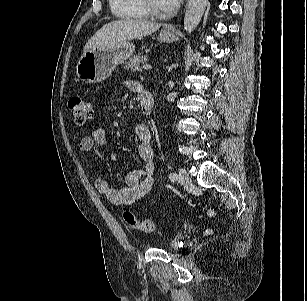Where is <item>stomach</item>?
Segmentation results:
<instances>
[{
  "label": "stomach",
  "mask_w": 307,
  "mask_h": 301,
  "mask_svg": "<svg viewBox=\"0 0 307 301\" xmlns=\"http://www.w3.org/2000/svg\"><path fill=\"white\" fill-rule=\"evenodd\" d=\"M177 39L174 30L163 29L159 40L172 42ZM135 51V45L129 41L117 43L112 47H95L84 52L76 66L77 76L86 83H99L106 80L117 65L130 58Z\"/></svg>",
  "instance_id": "1"
}]
</instances>
